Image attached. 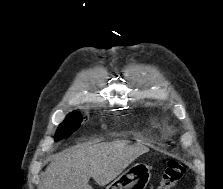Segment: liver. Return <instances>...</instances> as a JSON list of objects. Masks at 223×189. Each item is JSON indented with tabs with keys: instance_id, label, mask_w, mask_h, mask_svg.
Listing matches in <instances>:
<instances>
[{
	"instance_id": "6515ba94",
	"label": "liver",
	"mask_w": 223,
	"mask_h": 189,
	"mask_svg": "<svg viewBox=\"0 0 223 189\" xmlns=\"http://www.w3.org/2000/svg\"><path fill=\"white\" fill-rule=\"evenodd\" d=\"M146 151L119 141L76 145L53 157L39 189H93L88 184L91 177L105 186Z\"/></svg>"
}]
</instances>
